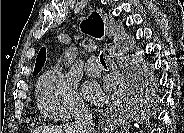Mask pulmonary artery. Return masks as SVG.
<instances>
[{"mask_svg":"<svg viewBox=\"0 0 184 133\" xmlns=\"http://www.w3.org/2000/svg\"><path fill=\"white\" fill-rule=\"evenodd\" d=\"M85 72L92 77H97L101 74V67L98 65V61L94 56L86 62Z\"/></svg>","mask_w":184,"mask_h":133,"instance_id":"pulmonary-artery-1","label":"pulmonary artery"}]
</instances>
